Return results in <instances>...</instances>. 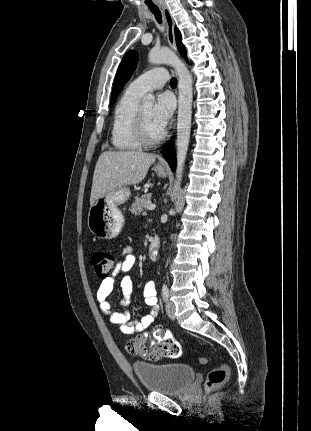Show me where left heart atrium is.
Wrapping results in <instances>:
<instances>
[{"instance_id":"left-heart-atrium-1","label":"left heart atrium","mask_w":311,"mask_h":431,"mask_svg":"<svg viewBox=\"0 0 311 431\" xmlns=\"http://www.w3.org/2000/svg\"><path fill=\"white\" fill-rule=\"evenodd\" d=\"M175 108L176 101L171 93L164 92L158 95L153 108V121L162 132L172 118Z\"/></svg>"}]
</instances>
